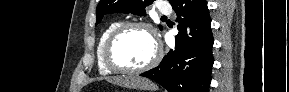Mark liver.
Segmentation results:
<instances>
[{
	"instance_id": "liver-1",
	"label": "liver",
	"mask_w": 289,
	"mask_h": 92,
	"mask_svg": "<svg viewBox=\"0 0 289 92\" xmlns=\"http://www.w3.org/2000/svg\"><path fill=\"white\" fill-rule=\"evenodd\" d=\"M110 82L116 83L118 85H123V86H127V87H133V88H148L150 87L152 84L150 81L145 80V79H134V78H130V79H115V80H110Z\"/></svg>"
}]
</instances>
